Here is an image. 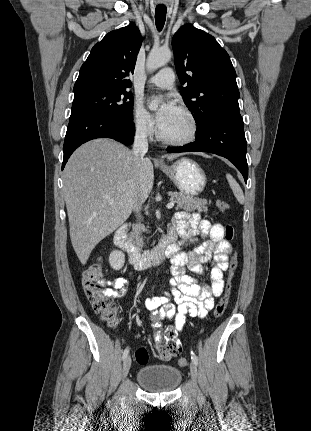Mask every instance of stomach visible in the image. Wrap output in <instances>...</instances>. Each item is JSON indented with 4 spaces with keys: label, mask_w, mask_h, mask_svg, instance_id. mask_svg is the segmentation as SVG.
<instances>
[{
    "label": "stomach",
    "mask_w": 311,
    "mask_h": 431,
    "mask_svg": "<svg viewBox=\"0 0 311 431\" xmlns=\"http://www.w3.org/2000/svg\"><path fill=\"white\" fill-rule=\"evenodd\" d=\"M160 168L163 174L172 180L180 194L195 198L206 188L207 178L204 170L190 158H180L173 166H160Z\"/></svg>",
    "instance_id": "stomach-1"
}]
</instances>
